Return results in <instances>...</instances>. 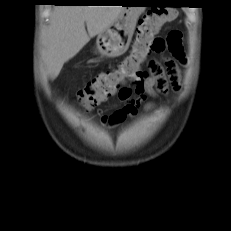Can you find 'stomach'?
I'll use <instances>...</instances> for the list:
<instances>
[{"label":"stomach","mask_w":231,"mask_h":231,"mask_svg":"<svg viewBox=\"0 0 231 231\" xmlns=\"http://www.w3.org/2000/svg\"><path fill=\"white\" fill-rule=\"evenodd\" d=\"M135 3H140L134 1ZM145 7H125L113 24L98 34V52L106 57H118L128 49L137 19Z\"/></svg>","instance_id":"stomach-1"}]
</instances>
